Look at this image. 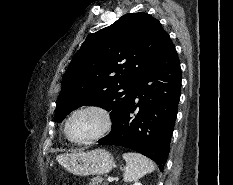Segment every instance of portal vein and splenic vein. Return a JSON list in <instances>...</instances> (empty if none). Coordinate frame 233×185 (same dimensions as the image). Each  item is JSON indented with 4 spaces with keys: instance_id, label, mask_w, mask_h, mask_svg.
Returning <instances> with one entry per match:
<instances>
[{
    "instance_id": "obj_1",
    "label": "portal vein and splenic vein",
    "mask_w": 233,
    "mask_h": 185,
    "mask_svg": "<svg viewBox=\"0 0 233 185\" xmlns=\"http://www.w3.org/2000/svg\"><path fill=\"white\" fill-rule=\"evenodd\" d=\"M107 181H108V182H113V181H114V178L108 177V178H107Z\"/></svg>"
}]
</instances>
